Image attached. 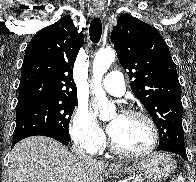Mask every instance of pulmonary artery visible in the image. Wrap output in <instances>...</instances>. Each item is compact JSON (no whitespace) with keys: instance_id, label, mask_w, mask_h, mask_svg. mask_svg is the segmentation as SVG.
<instances>
[{"instance_id":"e3ab8cb5","label":"pulmonary artery","mask_w":196,"mask_h":182,"mask_svg":"<svg viewBox=\"0 0 196 182\" xmlns=\"http://www.w3.org/2000/svg\"><path fill=\"white\" fill-rule=\"evenodd\" d=\"M103 89L113 95L121 96L125 92L124 77L117 71H112L106 75L102 83Z\"/></svg>"}]
</instances>
